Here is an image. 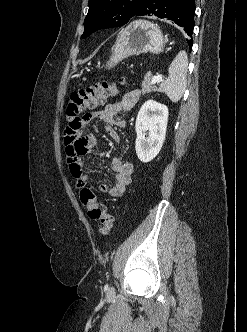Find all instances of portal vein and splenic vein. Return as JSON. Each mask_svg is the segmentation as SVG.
Listing matches in <instances>:
<instances>
[{
    "mask_svg": "<svg viewBox=\"0 0 247 332\" xmlns=\"http://www.w3.org/2000/svg\"><path fill=\"white\" fill-rule=\"evenodd\" d=\"M162 79H163L162 75H154L152 77L151 84L153 85L159 81H162Z\"/></svg>",
    "mask_w": 247,
    "mask_h": 332,
    "instance_id": "obj_1",
    "label": "portal vein and splenic vein"
}]
</instances>
